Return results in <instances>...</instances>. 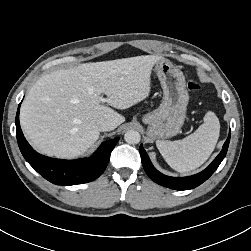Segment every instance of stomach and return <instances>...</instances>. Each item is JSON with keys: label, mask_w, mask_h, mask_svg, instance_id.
Here are the masks:
<instances>
[{"label": "stomach", "mask_w": 251, "mask_h": 251, "mask_svg": "<svg viewBox=\"0 0 251 251\" xmlns=\"http://www.w3.org/2000/svg\"><path fill=\"white\" fill-rule=\"evenodd\" d=\"M155 72L163 89L160 106L142 118L148 124L147 136L151 140L166 139L180 131L186 117L189 94L183 72L168 59L155 64Z\"/></svg>", "instance_id": "0dacf381"}]
</instances>
